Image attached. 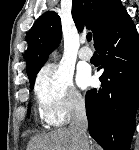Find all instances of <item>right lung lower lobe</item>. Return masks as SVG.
I'll use <instances>...</instances> for the list:
<instances>
[{
    "instance_id": "1",
    "label": "right lung lower lobe",
    "mask_w": 139,
    "mask_h": 150,
    "mask_svg": "<svg viewBox=\"0 0 139 150\" xmlns=\"http://www.w3.org/2000/svg\"><path fill=\"white\" fill-rule=\"evenodd\" d=\"M95 47L104 72L101 88L86 93L89 133L104 150H127L139 107V37L126 10Z\"/></svg>"
}]
</instances>
